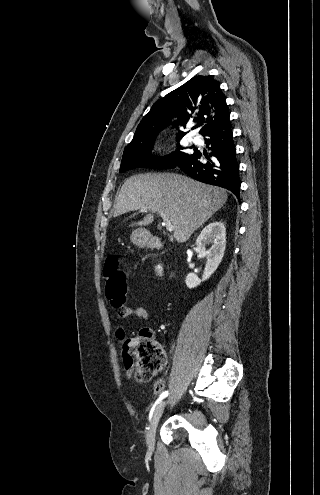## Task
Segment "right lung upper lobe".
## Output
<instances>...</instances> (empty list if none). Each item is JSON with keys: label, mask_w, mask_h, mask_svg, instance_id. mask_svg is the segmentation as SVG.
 <instances>
[{"label": "right lung upper lobe", "mask_w": 320, "mask_h": 495, "mask_svg": "<svg viewBox=\"0 0 320 495\" xmlns=\"http://www.w3.org/2000/svg\"><path fill=\"white\" fill-rule=\"evenodd\" d=\"M229 115L226 96L220 89L219 81L210 75L194 76L154 103L139 123L132 141L124 151L144 144H153L165 124H171L172 129L178 130L180 126L185 127L187 123L196 122L197 126L201 127L199 133L202 135L225 122ZM175 117L177 119L170 121ZM185 134L178 131L176 140H180Z\"/></svg>", "instance_id": "obj_1"}]
</instances>
